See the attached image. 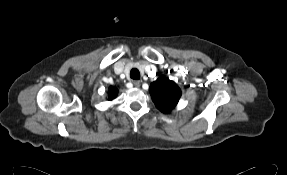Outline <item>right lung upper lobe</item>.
<instances>
[{
  "label": "right lung upper lobe",
  "mask_w": 287,
  "mask_h": 175,
  "mask_svg": "<svg viewBox=\"0 0 287 175\" xmlns=\"http://www.w3.org/2000/svg\"><path fill=\"white\" fill-rule=\"evenodd\" d=\"M117 95V88L116 87H111L110 92H109V97L108 100H113Z\"/></svg>",
  "instance_id": "right-lung-upper-lobe-1"
}]
</instances>
